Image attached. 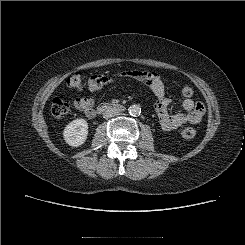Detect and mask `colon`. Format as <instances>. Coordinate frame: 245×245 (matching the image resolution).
Returning a JSON list of instances; mask_svg holds the SVG:
<instances>
[{"label": "colon", "instance_id": "5ec220e1", "mask_svg": "<svg viewBox=\"0 0 245 245\" xmlns=\"http://www.w3.org/2000/svg\"><path fill=\"white\" fill-rule=\"evenodd\" d=\"M98 81L96 83V85H98ZM67 86L73 90L76 91H80L84 88V81H83V77L81 74L79 73H75L73 75H71L68 79H67ZM194 94L193 89L190 86H184L182 88V95L186 98H190L192 97ZM69 111V106L68 104L60 99V98H56L52 101L51 104V113L56 116V117H61L64 116L68 113ZM196 134V130L192 127H186L182 130V136L186 139H191L195 136Z\"/></svg>", "mask_w": 245, "mask_h": 245}]
</instances>
